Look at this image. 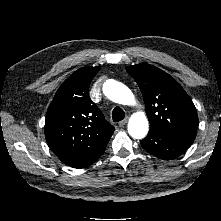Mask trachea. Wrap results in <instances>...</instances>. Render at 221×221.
Instances as JSON below:
<instances>
[{
  "mask_svg": "<svg viewBox=\"0 0 221 221\" xmlns=\"http://www.w3.org/2000/svg\"><path fill=\"white\" fill-rule=\"evenodd\" d=\"M125 117V112L120 107H115L112 111V119L114 122L123 120Z\"/></svg>",
  "mask_w": 221,
  "mask_h": 221,
  "instance_id": "obj_1",
  "label": "trachea"
}]
</instances>
